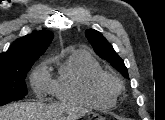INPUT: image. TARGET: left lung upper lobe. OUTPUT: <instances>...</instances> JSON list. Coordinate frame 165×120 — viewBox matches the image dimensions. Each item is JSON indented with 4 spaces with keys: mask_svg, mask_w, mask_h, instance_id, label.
<instances>
[{
    "mask_svg": "<svg viewBox=\"0 0 165 120\" xmlns=\"http://www.w3.org/2000/svg\"><path fill=\"white\" fill-rule=\"evenodd\" d=\"M85 35L94 51L103 59L107 60L115 69H117L124 77L129 78L127 68L124 61L114 51L112 45L106 40V38L98 31L88 29L85 31Z\"/></svg>",
    "mask_w": 165,
    "mask_h": 120,
    "instance_id": "5c2ea615",
    "label": "left lung upper lobe"
}]
</instances>
